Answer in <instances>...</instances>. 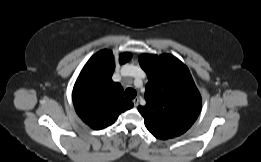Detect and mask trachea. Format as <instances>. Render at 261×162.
Segmentation results:
<instances>
[{"label": "trachea", "mask_w": 261, "mask_h": 162, "mask_svg": "<svg viewBox=\"0 0 261 162\" xmlns=\"http://www.w3.org/2000/svg\"><path fill=\"white\" fill-rule=\"evenodd\" d=\"M136 95H137L136 90H134V89H132V88H127V89L125 90V97H126L127 99H129V100L134 99V98L136 97Z\"/></svg>", "instance_id": "trachea-1"}]
</instances>
